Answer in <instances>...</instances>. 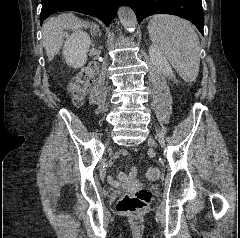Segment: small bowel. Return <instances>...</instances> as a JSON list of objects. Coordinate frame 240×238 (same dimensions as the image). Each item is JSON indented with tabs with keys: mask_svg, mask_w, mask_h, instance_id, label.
<instances>
[{
	"mask_svg": "<svg viewBox=\"0 0 240 238\" xmlns=\"http://www.w3.org/2000/svg\"><path fill=\"white\" fill-rule=\"evenodd\" d=\"M125 156H134V151H128L126 149H122L115 155L114 159L118 158V157H125ZM112 161H113V159L111 160V162ZM128 171H130V174H139V169H137L136 162H129ZM112 173L115 175H125L126 171L125 170H115ZM115 175L107 176L108 184L110 187H118V184L123 183V180L116 179Z\"/></svg>",
	"mask_w": 240,
	"mask_h": 238,
	"instance_id": "1",
	"label": "small bowel"
}]
</instances>
